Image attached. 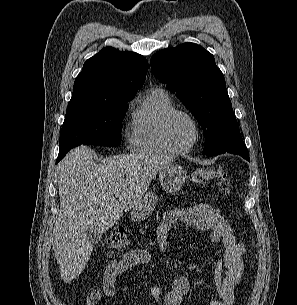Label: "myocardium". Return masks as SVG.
<instances>
[{
	"mask_svg": "<svg viewBox=\"0 0 297 305\" xmlns=\"http://www.w3.org/2000/svg\"><path fill=\"white\" fill-rule=\"evenodd\" d=\"M177 115H182V116H185L186 118H188L190 120V122L192 123L194 130H195V136H194L193 141L188 146H185V147L176 146L173 143V141L171 140V137L169 134L170 123H171L172 119ZM160 133H161V137H162L164 143L167 145V147L172 152L177 153V154H185V153H188L191 150H193V148L198 143L200 136H201V129H200V125H199L198 121L191 113H189L185 110H182V109L175 108V109L169 111L168 113H166L164 115V117L162 118L161 124H160Z\"/></svg>",
	"mask_w": 297,
	"mask_h": 305,
	"instance_id": "myocardium-1",
	"label": "myocardium"
}]
</instances>
